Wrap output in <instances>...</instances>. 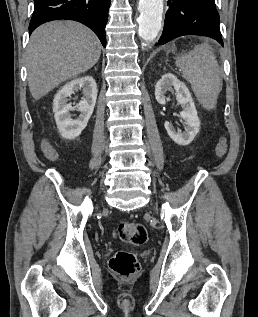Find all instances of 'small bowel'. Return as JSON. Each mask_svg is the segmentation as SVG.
<instances>
[{
    "label": "small bowel",
    "mask_w": 258,
    "mask_h": 317,
    "mask_svg": "<svg viewBox=\"0 0 258 317\" xmlns=\"http://www.w3.org/2000/svg\"><path fill=\"white\" fill-rule=\"evenodd\" d=\"M40 147H41L42 153L44 154L46 158L52 160L51 156L54 155L55 157H57V152L55 148L48 140L46 139L42 140Z\"/></svg>",
    "instance_id": "c3829d8e"
}]
</instances>
